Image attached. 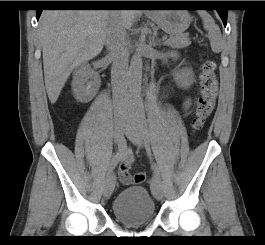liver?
I'll return each mask as SVG.
<instances>
[{
  "mask_svg": "<svg viewBox=\"0 0 265 245\" xmlns=\"http://www.w3.org/2000/svg\"><path fill=\"white\" fill-rule=\"evenodd\" d=\"M116 12L109 10H45L39 20L45 87L54 104L74 68L96 57L105 44L106 28ZM131 28L136 12H120Z\"/></svg>",
  "mask_w": 265,
  "mask_h": 245,
  "instance_id": "1",
  "label": "liver"
}]
</instances>
